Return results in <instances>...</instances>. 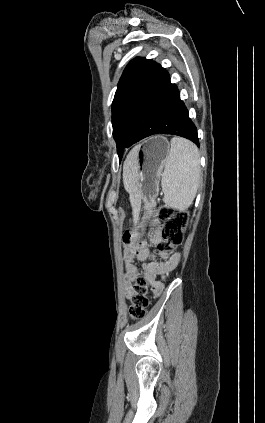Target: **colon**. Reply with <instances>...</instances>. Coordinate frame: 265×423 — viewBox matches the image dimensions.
<instances>
[{
    "label": "colon",
    "mask_w": 265,
    "mask_h": 423,
    "mask_svg": "<svg viewBox=\"0 0 265 423\" xmlns=\"http://www.w3.org/2000/svg\"><path fill=\"white\" fill-rule=\"evenodd\" d=\"M154 224L161 228L162 237L157 244L151 260H155L156 254L172 252L183 242L184 230L188 223L185 212H175L171 208L161 207L154 216ZM136 234L125 232L122 236L125 250H130L139 243H135ZM148 286L143 277H138L132 284L130 293L129 316L132 320H140L146 314L149 306Z\"/></svg>",
    "instance_id": "colon-1"
}]
</instances>
